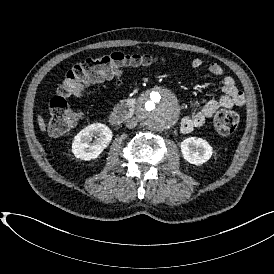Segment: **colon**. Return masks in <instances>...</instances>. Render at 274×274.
I'll list each match as a JSON object with an SVG mask.
<instances>
[{
    "label": "colon",
    "mask_w": 274,
    "mask_h": 274,
    "mask_svg": "<svg viewBox=\"0 0 274 274\" xmlns=\"http://www.w3.org/2000/svg\"><path fill=\"white\" fill-rule=\"evenodd\" d=\"M152 61L153 57L149 55L112 52L88 57L74 65L59 83L56 94L50 98L49 136L65 135L78 123L80 113L68 104L67 98L81 96L91 85L122 76L128 67L147 65ZM213 124L217 133L229 135L238 127L239 115L232 110H219Z\"/></svg>",
    "instance_id": "colon-1"
}]
</instances>
